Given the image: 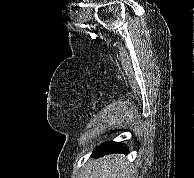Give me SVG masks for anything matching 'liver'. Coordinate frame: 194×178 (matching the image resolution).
<instances>
[{"instance_id":"obj_1","label":"liver","mask_w":194,"mask_h":178,"mask_svg":"<svg viewBox=\"0 0 194 178\" xmlns=\"http://www.w3.org/2000/svg\"><path fill=\"white\" fill-rule=\"evenodd\" d=\"M124 155H109L94 162L89 178H132Z\"/></svg>"}]
</instances>
